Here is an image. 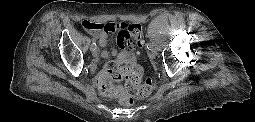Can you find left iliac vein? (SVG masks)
<instances>
[{"label": "left iliac vein", "mask_w": 255, "mask_h": 122, "mask_svg": "<svg viewBox=\"0 0 255 122\" xmlns=\"http://www.w3.org/2000/svg\"><path fill=\"white\" fill-rule=\"evenodd\" d=\"M157 56V51L155 49L149 51V57L155 58Z\"/></svg>", "instance_id": "1"}]
</instances>
